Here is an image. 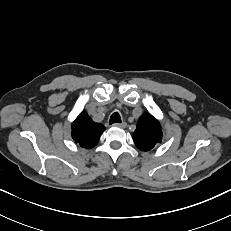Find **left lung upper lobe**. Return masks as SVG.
<instances>
[{"instance_id": "1", "label": "left lung upper lobe", "mask_w": 231, "mask_h": 231, "mask_svg": "<svg viewBox=\"0 0 231 231\" xmlns=\"http://www.w3.org/2000/svg\"><path fill=\"white\" fill-rule=\"evenodd\" d=\"M162 129L160 123L151 114H143L133 134L136 146L143 150H151L157 143L162 141Z\"/></svg>"}]
</instances>
